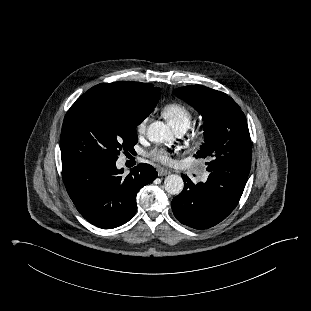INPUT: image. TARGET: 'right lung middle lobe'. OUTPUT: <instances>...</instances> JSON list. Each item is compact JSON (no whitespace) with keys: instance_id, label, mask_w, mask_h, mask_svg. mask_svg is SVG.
I'll return each instance as SVG.
<instances>
[{"instance_id":"dd1d6c3e","label":"right lung middle lobe","mask_w":311,"mask_h":311,"mask_svg":"<svg viewBox=\"0 0 311 311\" xmlns=\"http://www.w3.org/2000/svg\"><path fill=\"white\" fill-rule=\"evenodd\" d=\"M159 98L142 99L109 84L89 89L64 118L62 163L116 162L121 151L132 152L138 140L135 126L152 112Z\"/></svg>"}]
</instances>
